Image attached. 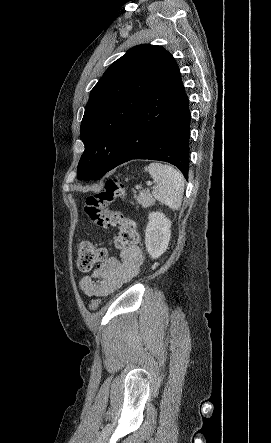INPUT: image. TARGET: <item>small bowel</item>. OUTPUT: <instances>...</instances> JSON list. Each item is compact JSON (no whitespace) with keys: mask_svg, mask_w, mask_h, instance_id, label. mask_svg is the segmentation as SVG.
Segmentation results:
<instances>
[{"mask_svg":"<svg viewBox=\"0 0 271 443\" xmlns=\"http://www.w3.org/2000/svg\"><path fill=\"white\" fill-rule=\"evenodd\" d=\"M142 263L140 248L128 246L121 250L119 258L106 256L93 273L81 279L80 287L89 296H108L136 276Z\"/></svg>","mask_w":271,"mask_h":443,"instance_id":"c3829d8e","label":"small bowel"}]
</instances>
